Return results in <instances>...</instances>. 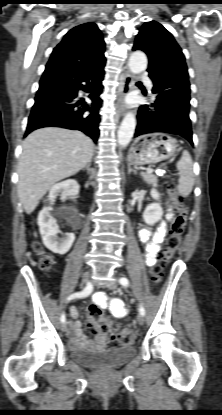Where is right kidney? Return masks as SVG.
Masks as SVG:
<instances>
[{
  "label": "right kidney",
  "instance_id": "1",
  "mask_svg": "<svg viewBox=\"0 0 222 415\" xmlns=\"http://www.w3.org/2000/svg\"><path fill=\"white\" fill-rule=\"evenodd\" d=\"M79 188V184L73 179L55 184L51 187L49 192V206H45L39 212L38 225L43 243L53 253L59 255L66 254L70 250L75 240V235L73 233H66L62 238L57 236L60 231L56 225L55 216L64 217L65 209L61 208L54 211L51 205L54 204L55 199L58 196H60L62 199L67 197L71 199L77 198L79 194Z\"/></svg>",
  "mask_w": 222,
  "mask_h": 415
}]
</instances>
